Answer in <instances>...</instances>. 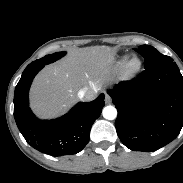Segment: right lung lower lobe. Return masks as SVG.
<instances>
[{"mask_svg":"<svg viewBox=\"0 0 183 183\" xmlns=\"http://www.w3.org/2000/svg\"><path fill=\"white\" fill-rule=\"evenodd\" d=\"M43 63L29 64L22 73L14 94V118L27 143L54 156L80 152L89 142L90 130L104 106V94L94 101L78 103L70 112L54 120H40L30 110L28 92Z\"/></svg>","mask_w":183,"mask_h":183,"instance_id":"right-lung-lower-lobe-1","label":"right lung lower lobe"}]
</instances>
